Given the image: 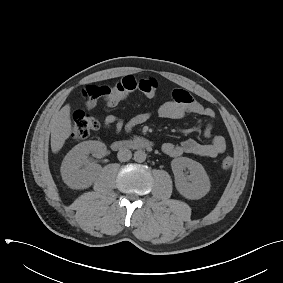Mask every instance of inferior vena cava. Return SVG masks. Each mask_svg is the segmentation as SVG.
Segmentation results:
<instances>
[{"mask_svg":"<svg viewBox=\"0 0 283 283\" xmlns=\"http://www.w3.org/2000/svg\"><path fill=\"white\" fill-rule=\"evenodd\" d=\"M131 157H132V153L127 148H122L117 153V158L121 162H126V161L130 160Z\"/></svg>","mask_w":283,"mask_h":283,"instance_id":"obj_1","label":"inferior vena cava"}]
</instances>
